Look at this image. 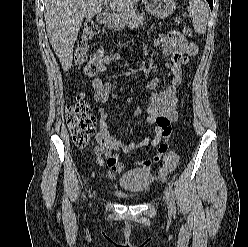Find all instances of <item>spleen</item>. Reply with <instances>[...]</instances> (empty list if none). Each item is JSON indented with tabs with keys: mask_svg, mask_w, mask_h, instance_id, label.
<instances>
[{
	"mask_svg": "<svg viewBox=\"0 0 248 247\" xmlns=\"http://www.w3.org/2000/svg\"><path fill=\"white\" fill-rule=\"evenodd\" d=\"M188 12L191 17L194 30L198 34H204L209 16L207 4L201 0H189Z\"/></svg>",
	"mask_w": 248,
	"mask_h": 247,
	"instance_id": "3e777b00",
	"label": "spleen"
}]
</instances>
